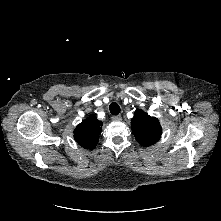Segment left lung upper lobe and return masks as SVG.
I'll return each instance as SVG.
<instances>
[{
  "label": "left lung upper lobe",
  "instance_id": "left-lung-upper-lobe-1",
  "mask_svg": "<svg viewBox=\"0 0 221 221\" xmlns=\"http://www.w3.org/2000/svg\"><path fill=\"white\" fill-rule=\"evenodd\" d=\"M131 128L137 142L145 147L155 144L162 134L159 120L140 109L134 113Z\"/></svg>",
  "mask_w": 221,
  "mask_h": 221
}]
</instances>
